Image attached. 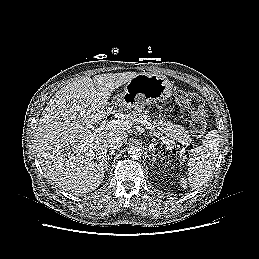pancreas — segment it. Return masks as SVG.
Segmentation results:
<instances>
[{"label": "pancreas", "instance_id": "cf45deb5", "mask_svg": "<svg viewBox=\"0 0 259 259\" xmlns=\"http://www.w3.org/2000/svg\"><path fill=\"white\" fill-rule=\"evenodd\" d=\"M131 122L141 123L148 122L153 129H157L159 135H164L178 142L189 145L191 138L188 133L181 125H175L171 121H167L164 118L155 119V116L149 115L148 111H136L128 115ZM145 125V124H144ZM147 128L148 125H145Z\"/></svg>", "mask_w": 259, "mask_h": 259}]
</instances>
